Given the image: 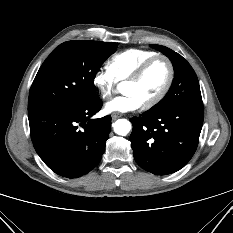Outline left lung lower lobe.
Here are the masks:
<instances>
[{"label": "left lung lower lobe", "instance_id": "obj_1", "mask_svg": "<svg viewBox=\"0 0 233 233\" xmlns=\"http://www.w3.org/2000/svg\"><path fill=\"white\" fill-rule=\"evenodd\" d=\"M131 122L130 141L137 164L153 174L167 175L184 167L195 153L203 125V106L146 111Z\"/></svg>", "mask_w": 233, "mask_h": 233}]
</instances>
